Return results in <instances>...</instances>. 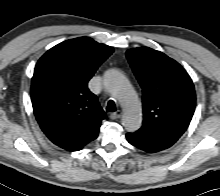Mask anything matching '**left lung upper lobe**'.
Instances as JSON below:
<instances>
[{
	"mask_svg": "<svg viewBox=\"0 0 220 196\" xmlns=\"http://www.w3.org/2000/svg\"><path fill=\"white\" fill-rule=\"evenodd\" d=\"M126 56L143 90L142 127L135 133L161 150L186 131L195 110V90L185 69L164 53L134 48Z\"/></svg>",
	"mask_w": 220,
	"mask_h": 196,
	"instance_id": "left-lung-upper-lobe-1",
	"label": "left lung upper lobe"
}]
</instances>
